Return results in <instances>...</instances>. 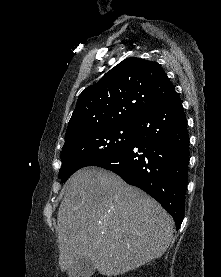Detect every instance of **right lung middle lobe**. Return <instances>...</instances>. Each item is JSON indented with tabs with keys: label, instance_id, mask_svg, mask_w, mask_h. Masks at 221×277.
<instances>
[{
	"label": "right lung middle lobe",
	"instance_id": "obj_1",
	"mask_svg": "<svg viewBox=\"0 0 221 277\" xmlns=\"http://www.w3.org/2000/svg\"><path fill=\"white\" fill-rule=\"evenodd\" d=\"M134 124H109L89 128L65 140L59 178L64 183L75 171L108 160L126 150Z\"/></svg>",
	"mask_w": 221,
	"mask_h": 277
}]
</instances>
